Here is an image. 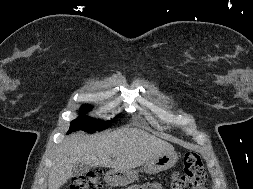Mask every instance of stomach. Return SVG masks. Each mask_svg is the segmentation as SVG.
I'll return each instance as SVG.
<instances>
[{"instance_id":"1","label":"stomach","mask_w":253,"mask_h":189,"mask_svg":"<svg viewBox=\"0 0 253 189\" xmlns=\"http://www.w3.org/2000/svg\"><path fill=\"white\" fill-rule=\"evenodd\" d=\"M178 160L176 152H163L144 164V171L155 174L172 168ZM105 181L111 186H126L137 179V172L134 170H111L105 174Z\"/></svg>"}]
</instances>
